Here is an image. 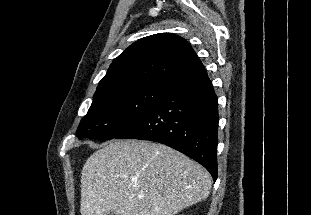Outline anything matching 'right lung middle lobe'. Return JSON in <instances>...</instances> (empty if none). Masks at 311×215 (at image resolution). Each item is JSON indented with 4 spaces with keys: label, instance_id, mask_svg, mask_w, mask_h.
I'll return each instance as SVG.
<instances>
[{
    "label": "right lung middle lobe",
    "instance_id": "obj_1",
    "mask_svg": "<svg viewBox=\"0 0 311 215\" xmlns=\"http://www.w3.org/2000/svg\"><path fill=\"white\" fill-rule=\"evenodd\" d=\"M170 84L139 83L106 88L94 100L77 129V137L108 140L125 132L162 98Z\"/></svg>",
    "mask_w": 311,
    "mask_h": 215
}]
</instances>
